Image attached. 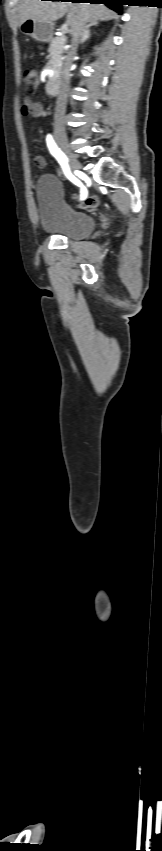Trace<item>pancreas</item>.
I'll return each mask as SVG.
<instances>
[{
	"mask_svg": "<svg viewBox=\"0 0 162 851\" xmlns=\"http://www.w3.org/2000/svg\"><path fill=\"white\" fill-rule=\"evenodd\" d=\"M48 52L50 53V61L47 64V68L52 70L54 75H57L60 71L61 65L63 61L67 58L64 56L65 53H68L66 48V41L63 37L54 38L49 46Z\"/></svg>",
	"mask_w": 162,
	"mask_h": 851,
	"instance_id": "pancreas-1",
	"label": "pancreas"
}]
</instances>
